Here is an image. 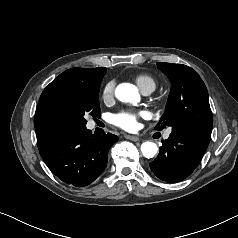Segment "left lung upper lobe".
I'll return each mask as SVG.
<instances>
[{"label":"left lung upper lobe","instance_id":"obj_1","mask_svg":"<svg viewBox=\"0 0 238 238\" xmlns=\"http://www.w3.org/2000/svg\"><path fill=\"white\" fill-rule=\"evenodd\" d=\"M157 66L172 86L165 112L155 129L170 126L172 131L210 138L213 117L207 88L198 73L183 64L157 63Z\"/></svg>","mask_w":238,"mask_h":238}]
</instances>
